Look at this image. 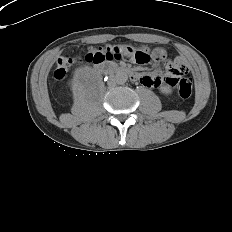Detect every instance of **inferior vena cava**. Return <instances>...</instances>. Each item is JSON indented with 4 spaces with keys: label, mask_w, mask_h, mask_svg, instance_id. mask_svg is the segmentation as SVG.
<instances>
[{
    "label": "inferior vena cava",
    "mask_w": 232,
    "mask_h": 232,
    "mask_svg": "<svg viewBox=\"0 0 232 232\" xmlns=\"http://www.w3.org/2000/svg\"><path fill=\"white\" fill-rule=\"evenodd\" d=\"M110 85H113V82H110Z\"/></svg>",
    "instance_id": "obj_1"
}]
</instances>
